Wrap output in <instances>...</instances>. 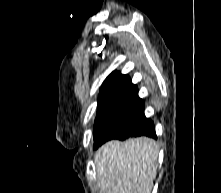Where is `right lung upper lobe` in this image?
I'll return each mask as SVG.
<instances>
[{
    "mask_svg": "<svg viewBox=\"0 0 221 193\" xmlns=\"http://www.w3.org/2000/svg\"><path fill=\"white\" fill-rule=\"evenodd\" d=\"M124 102H142V100L138 97V89L132 84L128 75L113 72L101 87L97 111Z\"/></svg>",
    "mask_w": 221,
    "mask_h": 193,
    "instance_id": "cb5924a9",
    "label": "right lung upper lobe"
}]
</instances>
